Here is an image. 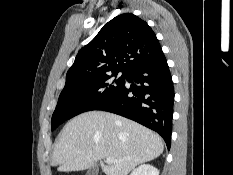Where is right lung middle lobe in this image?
I'll return each instance as SVG.
<instances>
[{
  "mask_svg": "<svg viewBox=\"0 0 233 175\" xmlns=\"http://www.w3.org/2000/svg\"><path fill=\"white\" fill-rule=\"evenodd\" d=\"M118 73L110 72L66 82L52 115V130L64 121L110 101L125 85L124 76L127 73L113 79Z\"/></svg>",
  "mask_w": 233,
  "mask_h": 175,
  "instance_id": "1",
  "label": "right lung middle lobe"
}]
</instances>
